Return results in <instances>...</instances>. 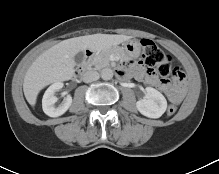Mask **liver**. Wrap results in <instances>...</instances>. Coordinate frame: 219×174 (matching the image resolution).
<instances>
[{
	"label": "liver",
	"mask_w": 219,
	"mask_h": 174,
	"mask_svg": "<svg viewBox=\"0 0 219 174\" xmlns=\"http://www.w3.org/2000/svg\"><path fill=\"white\" fill-rule=\"evenodd\" d=\"M132 37L127 35L93 34L70 38L43 52L27 70L23 91L27 102L34 106L39 92L51 83L70 80L76 65L75 55L89 50L103 52Z\"/></svg>",
	"instance_id": "6515ba94"
}]
</instances>
